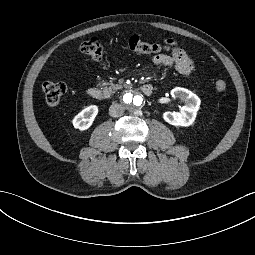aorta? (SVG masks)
I'll list each match as a JSON object with an SVG mask.
<instances>
[{"instance_id":"1","label":"aorta","mask_w":255,"mask_h":255,"mask_svg":"<svg viewBox=\"0 0 255 255\" xmlns=\"http://www.w3.org/2000/svg\"><path fill=\"white\" fill-rule=\"evenodd\" d=\"M123 101L126 106L132 109H139L145 103L143 96L136 90H130L123 96Z\"/></svg>"}]
</instances>
